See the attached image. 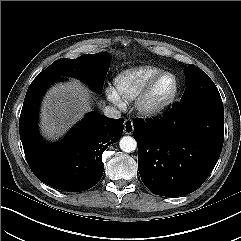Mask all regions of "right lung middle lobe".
Segmentation results:
<instances>
[{"mask_svg": "<svg viewBox=\"0 0 241 241\" xmlns=\"http://www.w3.org/2000/svg\"><path fill=\"white\" fill-rule=\"evenodd\" d=\"M106 53L85 54L76 59L61 58L37 75L32 83L63 79L72 76L84 80L92 89L101 92L109 70Z\"/></svg>", "mask_w": 241, "mask_h": 241, "instance_id": "dd1d6c3e", "label": "right lung middle lobe"}]
</instances>
